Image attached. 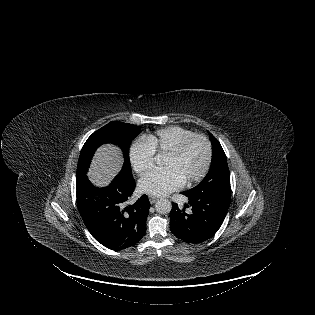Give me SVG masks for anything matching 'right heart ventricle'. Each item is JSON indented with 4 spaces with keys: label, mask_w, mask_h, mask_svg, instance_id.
I'll use <instances>...</instances> for the list:
<instances>
[{
    "label": "right heart ventricle",
    "mask_w": 315,
    "mask_h": 315,
    "mask_svg": "<svg viewBox=\"0 0 315 315\" xmlns=\"http://www.w3.org/2000/svg\"><path fill=\"white\" fill-rule=\"evenodd\" d=\"M195 134L187 128L172 125L157 130L154 134L146 137V140L151 144L154 151L168 152L182 140Z\"/></svg>",
    "instance_id": "e07e8e85"
}]
</instances>
